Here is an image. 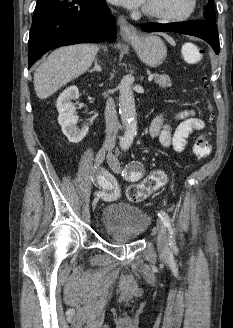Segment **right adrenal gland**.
I'll return each mask as SVG.
<instances>
[{
  "label": "right adrenal gland",
  "instance_id": "1",
  "mask_svg": "<svg viewBox=\"0 0 233 328\" xmlns=\"http://www.w3.org/2000/svg\"><path fill=\"white\" fill-rule=\"evenodd\" d=\"M94 71H98V72H101L102 71L101 66L98 63L97 58L94 59V68L91 69V70H89L90 73H92Z\"/></svg>",
  "mask_w": 233,
  "mask_h": 328
}]
</instances>
